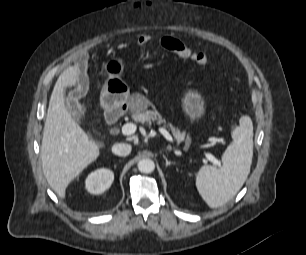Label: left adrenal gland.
Instances as JSON below:
<instances>
[{
	"mask_svg": "<svg viewBox=\"0 0 306 255\" xmlns=\"http://www.w3.org/2000/svg\"><path fill=\"white\" fill-rule=\"evenodd\" d=\"M163 158H164V160L166 162V167H168L170 165H175L176 164V162H174V161H169L164 154H163Z\"/></svg>",
	"mask_w": 306,
	"mask_h": 255,
	"instance_id": "obj_1",
	"label": "left adrenal gland"
}]
</instances>
